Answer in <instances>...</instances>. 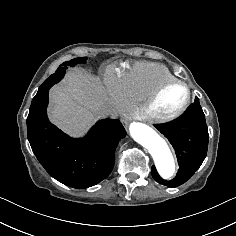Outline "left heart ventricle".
<instances>
[{
	"label": "left heart ventricle",
	"instance_id": "obj_1",
	"mask_svg": "<svg viewBox=\"0 0 236 236\" xmlns=\"http://www.w3.org/2000/svg\"><path fill=\"white\" fill-rule=\"evenodd\" d=\"M185 89L182 86H172L165 90L156 104V112L166 116L174 112L185 98Z\"/></svg>",
	"mask_w": 236,
	"mask_h": 236
}]
</instances>
